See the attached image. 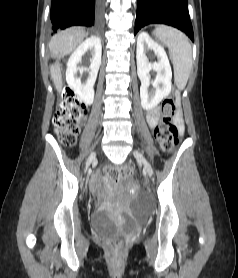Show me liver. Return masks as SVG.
Here are the masks:
<instances>
[{
	"mask_svg": "<svg viewBox=\"0 0 238 278\" xmlns=\"http://www.w3.org/2000/svg\"><path fill=\"white\" fill-rule=\"evenodd\" d=\"M87 35L88 34L81 27H73L56 34L49 43L51 56L60 59L70 54ZM50 75L57 92H61L63 83L58 62L50 67Z\"/></svg>",
	"mask_w": 238,
	"mask_h": 278,
	"instance_id": "1",
	"label": "liver"
}]
</instances>
